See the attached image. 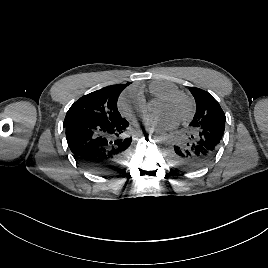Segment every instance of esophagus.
Here are the masks:
<instances>
[{"label": "esophagus", "mask_w": 268, "mask_h": 268, "mask_svg": "<svg viewBox=\"0 0 268 268\" xmlns=\"http://www.w3.org/2000/svg\"><path fill=\"white\" fill-rule=\"evenodd\" d=\"M137 133L139 134V135H143L144 134V131H142V130H137Z\"/></svg>", "instance_id": "obj_1"}]
</instances>
